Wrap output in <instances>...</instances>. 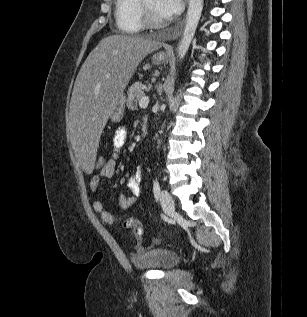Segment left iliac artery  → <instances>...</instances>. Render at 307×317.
<instances>
[{
    "instance_id": "obj_1",
    "label": "left iliac artery",
    "mask_w": 307,
    "mask_h": 317,
    "mask_svg": "<svg viewBox=\"0 0 307 317\" xmlns=\"http://www.w3.org/2000/svg\"><path fill=\"white\" fill-rule=\"evenodd\" d=\"M153 193L156 200H158L160 195V183L157 178L154 180V183H153Z\"/></svg>"
}]
</instances>
